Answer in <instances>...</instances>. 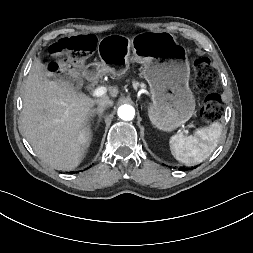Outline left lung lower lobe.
Listing matches in <instances>:
<instances>
[{
	"instance_id": "1",
	"label": "left lung lower lobe",
	"mask_w": 253,
	"mask_h": 253,
	"mask_svg": "<svg viewBox=\"0 0 253 253\" xmlns=\"http://www.w3.org/2000/svg\"><path fill=\"white\" fill-rule=\"evenodd\" d=\"M180 170L185 171V170H187V169H186V168H180Z\"/></svg>"
}]
</instances>
